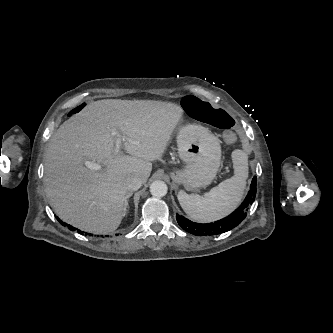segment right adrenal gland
I'll list each match as a JSON object with an SVG mask.
<instances>
[{
    "label": "right adrenal gland",
    "instance_id": "obj_1",
    "mask_svg": "<svg viewBox=\"0 0 333 333\" xmlns=\"http://www.w3.org/2000/svg\"><path fill=\"white\" fill-rule=\"evenodd\" d=\"M132 196V193H128L125 196V201H124V215L127 213V208H128V200Z\"/></svg>",
    "mask_w": 333,
    "mask_h": 333
}]
</instances>
